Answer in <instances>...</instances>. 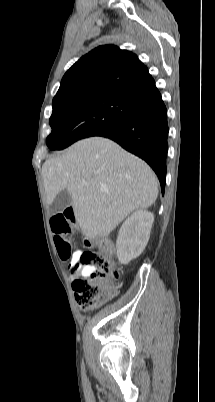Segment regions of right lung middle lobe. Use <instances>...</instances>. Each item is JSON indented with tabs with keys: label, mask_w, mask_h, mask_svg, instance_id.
Segmentation results:
<instances>
[{
	"label": "right lung middle lobe",
	"mask_w": 215,
	"mask_h": 402,
	"mask_svg": "<svg viewBox=\"0 0 215 402\" xmlns=\"http://www.w3.org/2000/svg\"><path fill=\"white\" fill-rule=\"evenodd\" d=\"M137 106L136 102L107 93L53 100L49 119L52 132L47 146L61 150L80 139L108 132L125 121Z\"/></svg>",
	"instance_id": "right-lung-middle-lobe-1"
}]
</instances>
